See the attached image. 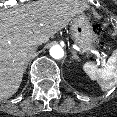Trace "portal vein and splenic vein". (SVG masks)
I'll list each match as a JSON object with an SVG mask.
<instances>
[{"label": "portal vein and splenic vein", "instance_id": "obj_1", "mask_svg": "<svg viewBox=\"0 0 117 117\" xmlns=\"http://www.w3.org/2000/svg\"><path fill=\"white\" fill-rule=\"evenodd\" d=\"M92 53L95 54L98 58H102L101 54L98 51L94 50Z\"/></svg>", "mask_w": 117, "mask_h": 117}]
</instances>
